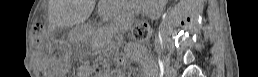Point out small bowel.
I'll list each match as a JSON object with an SVG mask.
<instances>
[{
  "label": "small bowel",
  "instance_id": "obj_1",
  "mask_svg": "<svg viewBox=\"0 0 258 77\" xmlns=\"http://www.w3.org/2000/svg\"><path fill=\"white\" fill-rule=\"evenodd\" d=\"M135 50H136V57L141 58L142 54L140 52V48L137 47ZM142 69L145 72H148L151 69L150 61H144L143 64H142Z\"/></svg>",
  "mask_w": 258,
  "mask_h": 77
}]
</instances>
